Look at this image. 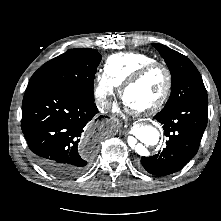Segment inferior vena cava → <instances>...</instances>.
<instances>
[{
  "instance_id": "1",
  "label": "inferior vena cava",
  "mask_w": 221,
  "mask_h": 221,
  "mask_svg": "<svg viewBox=\"0 0 221 221\" xmlns=\"http://www.w3.org/2000/svg\"><path fill=\"white\" fill-rule=\"evenodd\" d=\"M98 108L101 112H107L110 109V104L106 100H102L98 102Z\"/></svg>"
}]
</instances>
